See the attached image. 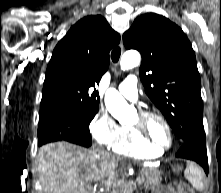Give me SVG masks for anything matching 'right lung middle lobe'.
<instances>
[{
    "mask_svg": "<svg viewBox=\"0 0 221 193\" xmlns=\"http://www.w3.org/2000/svg\"><path fill=\"white\" fill-rule=\"evenodd\" d=\"M98 111L90 109L54 107L40 110L38 145L66 140L83 146L92 143L89 123Z\"/></svg>",
    "mask_w": 221,
    "mask_h": 193,
    "instance_id": "1",
    "label": "right lung middle lobe"
}]
</instances>
